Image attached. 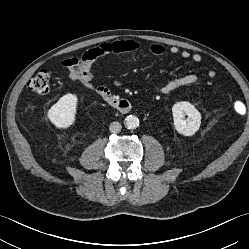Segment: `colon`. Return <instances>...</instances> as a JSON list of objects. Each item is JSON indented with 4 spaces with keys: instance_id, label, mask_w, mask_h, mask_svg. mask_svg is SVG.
I'll return each mask as SVG.
<instances>
[{
    "instance_id": "colon-1",
    "label": "colon",
    "mask_w": 249,
    "mask_h": 249,
    "mask_svg": "<svg viewBox=\"0 0 249 249\" xmlns=\"http://www.w3.org/2000/svg\"><path fill=\"white\" fill-rule=\"evenodd\" d=\"M50 87V73L47 70H40L28 83V88L37 94H45ZM233 110L237 114H243L245 105L242 101L233 102Z\"/></svg>"
}]
</instances>
